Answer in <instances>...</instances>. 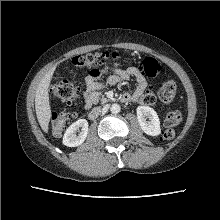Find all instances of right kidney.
Masks as SVG:
<instances>
[{
  "mask_svg": "<svg viewBox=\"0 0 220 220\" xmlns=\"http://www.w3.org/2000/svg\"><path fill=\"white\" fill-rule=\"evenodd\" d=\"M80 129H81V131L77 135L76 133ZM87 134H88L87 120L79 119L67 128V130L63 136L62 143H63V145L68 146V147L79 146L85 141Z\"/></svg>",
  "mask_w": 220,
  "mask_h": 220,
  "instance_id": "right-kidney-1",
  "label": "right kidney"
}]
</instances>
